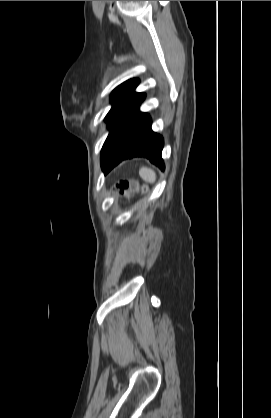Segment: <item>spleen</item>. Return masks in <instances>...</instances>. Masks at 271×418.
<instances>
[{
  "mask_svg": "<svg viewBox=\"0 0 271 418\" xmlns=\"http://www.w3.org/2000/svg\"><path fill=\"white\" fill-rule=\"evenodd\" d=\"M139 175L144 181H146L148 183H155V181H156V174L150 168L142 167L139 170Z\"/></svg>",
  "mask_w": 271,
  "mask_h": 418,
  "instance_id": "obj_1",
  "label": "spleen"
}]
</instances>
